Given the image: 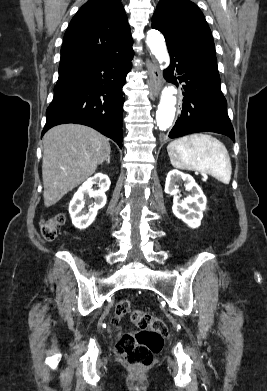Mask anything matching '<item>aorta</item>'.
Masks as SVG:
<instances>
[{
  "label": "aorta",
  "instance_id": "aorta-1",
  "mask_svg": "<svg viewBox=\"0 0 267 391\" xmlns=\"http://www.w3.org/2000/svg\"><path fill=\"white\" fill-rule=\"evenodd\" d=\"M146 43L158 62L160 64L165 62V66L161 68H166L169 64V56L164 37L160 35L158 31L150 30L147 33ZM176 93L177 90L171 86L164 87L162 90L158 110L156 112L157 126L161 131L167 130L174 120L177 100Z\"/></svg>",
  "mask_w": 267,
  "mask_h": 391
}]
</instances>
